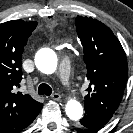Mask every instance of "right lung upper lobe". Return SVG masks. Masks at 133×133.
Returning a JSON list of instances; mask_svg holds the SVG:
<instances>
[{"mask_svg": "<svg viewBox=\"0 0 133 133\" xmlns=\"http://www.w3.org/2000/svg\"><path fill=\"white\" fill-rule=\"evenodd\" d=\"M37 22L12 20L0 24V127L13 130L43 104L16 92L22 80L21 58Z\"/></svg>", "mask_w": 133, "mask_h": 133, "instance_id": "right-lung-upper-lobe-1", "label": "right lung upper lobe"}]
</instances>
